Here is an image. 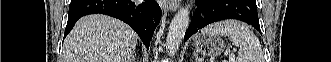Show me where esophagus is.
<instances>
[{"label":"esophagus","instance_id":"esophagus-1","mask_svg":"<svg viewBox=\"0 0 331 62\" xmlns=\"http://www.w3.org/2000/svg\"><path fill=\"white\" fill-rule=\"evenodd\" d=\"M160 6L163 10L175 11L179 6V0H161Z\"/></svg>","mask_w":331,"mask_h":62}]
</instances>
